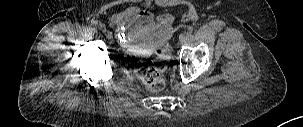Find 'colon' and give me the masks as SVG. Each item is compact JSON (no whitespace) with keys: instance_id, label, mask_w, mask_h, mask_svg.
<instances>
[{"instance_id":"colon-1","label":"colon","mask_w":303,"mask_h":127,"mask_svg":"<svg viewBox=\"0 0 303 127\" xmlns=\"http://www.w3.org/2000/svg\"><path fill=\"white\" fill-rule=\"evenodd\" d=\"M170 60L171 52L166 47L159 48L154 58L140 60L135 67V75L141 85L151 92L164 90L165 80L163 73Z\"/></svg>"}]
</instances>
